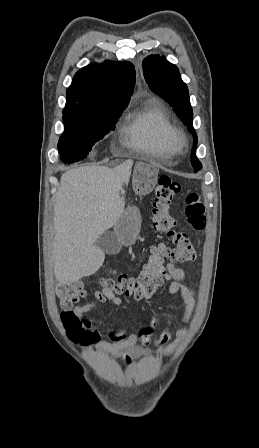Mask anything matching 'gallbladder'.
<instances>
[{
	"instance_id": "1",
	"label": "gallbladder",
	"mask_w": 259,
	"mask_h": 448,
	"mask_svg": "<svg viewBox=\"0 0 259 448\" xmlns=\"http://www.w3.org/2000/svg\"><path fill=\"white\" fill-rule=\"evenodd\" d=\"M95 246L104 254H118L122 248V244L118 242L114 232H104L95 242Z\"/></svg>"
}]
</instances>
